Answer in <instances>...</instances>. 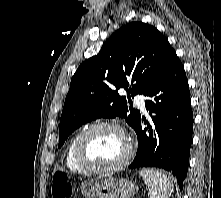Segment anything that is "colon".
<instances>
[{"label":"colon","instance_id":"5ec220e1","mask_svg":"<svg viewBox=\"0 0 221 198\" xmlns=\"http://www.w3.org/2000/svg\"><path fill=\"white\" fill-rule=\"evenodd\" d=\"M72 185L67 175L62 172L54 174L52 179L51 193L53 198H72Z\"/></svg>","mask_w":221,"mask_h":198}]
</instances>
